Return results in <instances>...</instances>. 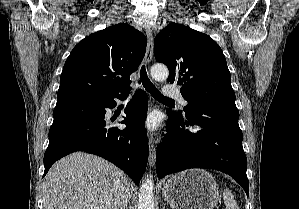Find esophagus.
<instances>
[{
	"mask_svg": "<svg viewBox=\"0 0 299 209\" xmlns=\"http://www.w3.org/2000/svg\"><path fill=\"white\" fill-rule=\"evenodd\" d=\"M147 48L145 53V63L149 64L153 57V36L150 29L146 30ZM156 158V148L154 145L153 136L149 137V166L153 167Z\"/></svg>",
	"mask_w": 299,
	"mask_h": 209,
	"instance_id": "obj_1",
	"label": "esophagus"
}]
</instances>
